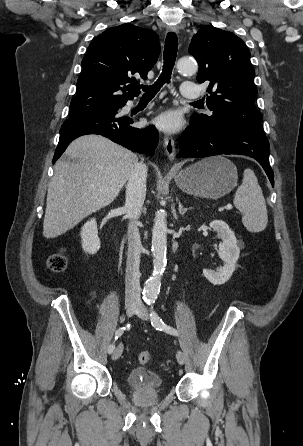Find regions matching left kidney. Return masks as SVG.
I'll use <instances>...</instances> for the list:
<instances>
[{"label":"left kidney","mask_w":303,"mask_h":446,"mask_svg":"<svg viewBox=\"0 0 303 446\" xmlns=\"http://www.w3.org/2000/svg\"><path fill=\"white\" fill-rule=\"evenodd\" d=\"M210 227L217 232L222 242L219 244V257L224 262L220 270L203 269L204 276L214 285H222L232 276L239 258L240 248L234 232L222 220H214Z\"/></svg>","instance_id":"1"}]
</instances>
